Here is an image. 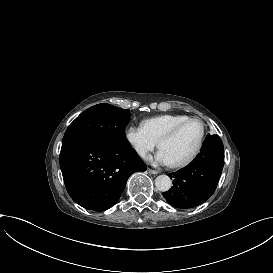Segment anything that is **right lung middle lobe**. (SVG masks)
I'll return each mask as SVG.
<instances>
[{
  "instance_id": "right-lung-middle-lobe-1",
  "label": "right lung middle lobe",
  "mask_w": 273,
  "mask_h": 273,
  "mask_svg": "<svg viewBox=\"0 0 273 273\" xmlns=\"http://www.w3.org/2000/svg\"><path fill=\"white\" fill-rule=\"evenodd\" d=\"M130 112L102 103L81 113L68 127L62 144L72 140H91L110 143L119 147H131L126 139L125 126Z\"/></svg>"
}]
</instances>
